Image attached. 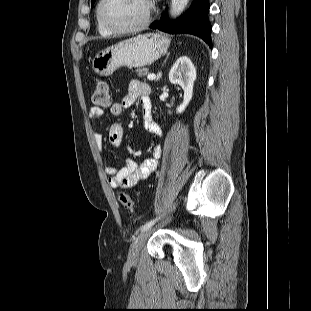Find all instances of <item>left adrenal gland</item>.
Instances as JSON below:
<instances>
[{
    "instance_id": "a2214340",
    "label": "left adrenal gland",
    "mask_w": 311,
    "mask_h": 311,
    "mask_svg": "<svg viewBox=\"0 0 311 311\" xmlns=\"http://www.w3.org/2000/svg\"><path fill=\"white\" fill-rule=\"evenodd\" d=\"M169 55H170V53H167V56H166V59H165L164 63L167 61Z\"/></svg>"
}]
</instances>
